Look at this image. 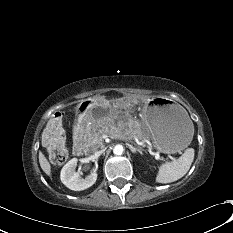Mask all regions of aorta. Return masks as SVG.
I'll list each match as a JSON object with an SVG mask.
<instances>
[{
	"mask_svg": "<svg viewBox=\"0 0 233 233\" xmlns=\"http://www.w3.org/2000/svg\"><path fill=\"white\" fill-rule=\"evenodd\" d=\"M123 151H124V148L122 145H116L114 148H113V153L115 155H122L123 154Z\"/></svg>",
	"mask_w": 233,
	"mask_h": 233,
	"instance_id": "aorta-1",
	"label": "aorta"
}]
</instances>
